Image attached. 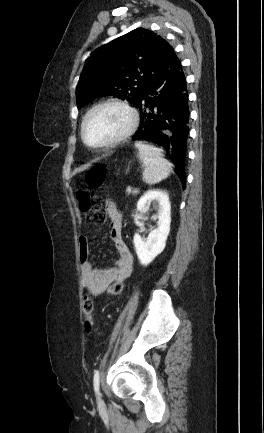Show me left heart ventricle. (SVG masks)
<instances>
[{
    "instance_id": "1",
    "label": "left heart ventricle",
    "mask_w": 264,
    "mask_h": 433,
    "mask_svg": "<svg viewBox=\"0 0 264 433\" xmlns=\"http://www.w3.org/2000/svg\"><path fill=\"white\" fill-rule=\"evenodd\" d=\"M129 122L128 114L116 106L95 111L85 126V135L92 144H99L121 134Z\"/></svg>"
}]
</instances>
